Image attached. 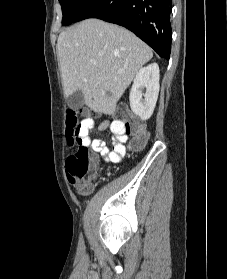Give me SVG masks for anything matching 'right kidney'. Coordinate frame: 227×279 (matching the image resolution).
Returning a JSON list of instances; mask_svg holds the SVG:
<instances>
[{"mask_svg":"<svg viewBox=\"0 0 227 279\" xmlns=\"http://www.w3.org/2000/svg\"><path fill=\"white\" fill-rule=\"evenodd\" d=\"M146 88L145 94L142 89ZM159 93V67L152 63L141 68L134 79L130 91V107L134 114L147 120L153 114ZM144 96V100L142 97Z\"/></svg>","mask_w":227,"mask_h":279,"instance_id":"ca27d5eb","label":"right kidney"}]
</instances>
